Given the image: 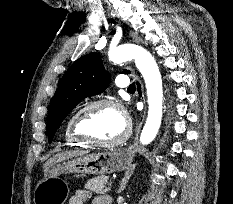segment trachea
<instances>
[{
  "mask_svg": "<svg viewBox=\"0 0 233 204\" xmlns=\"http://www.w3.org/2000/svg\"><path fill=\"white\" fill-rule=\"evenodd\" d=\"M134 89H136L135 83H132V84L129 86L128 90H134Z\"/></svg>",
  "mask_w": 233,
  "mask_h": 204,
  "instance_id": "3493384b",
  "label": "trachea"
}]
</instances>
